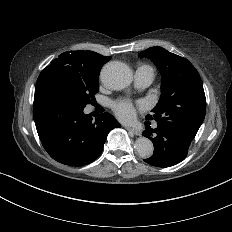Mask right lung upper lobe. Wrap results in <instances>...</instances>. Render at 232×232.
<instances>
[{"label": "right lung upper lobe", "mask_w": 232, "mask_h": 232, "mask_svg": "<svg viewBox=\"0 0 232 232\" xmlns=\"http://www.w3.org/2000/svg\"><path fill=\"white\" fill-rule=\"evenodd\" d=\"M110 58V56H102L93 51H70L59 55L57 60L64 64L79 65L100 72L103 64L108 62Z\"/></svg>", "instance_id": "1"}]
</instances>
